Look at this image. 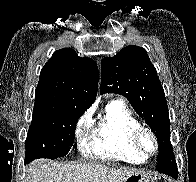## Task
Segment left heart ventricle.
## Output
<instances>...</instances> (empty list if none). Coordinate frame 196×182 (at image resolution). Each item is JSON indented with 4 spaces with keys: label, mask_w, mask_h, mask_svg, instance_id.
<instances>
[{
    "label": "left heart ventricle",
    "mask_w": 196,
    "mask_h": 182,
    "mask_svg": "<svg viewBox=\"0 0 196 182\" xmlns=\"http://www.w3.org/2000/svg\"><path fill=\"white\" fill-rule=\"evenodd\" d=\"M143 144L146 149H150L152 147V141L149 137H146V136L144 137Z\"/></svg>",
    "instance_id": "obj_1"
}]
</instances>
